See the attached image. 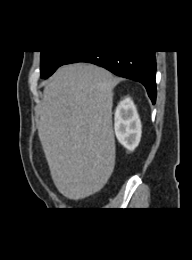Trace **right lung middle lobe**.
I'll use <instances>...</instances> for the list:
<instances>
[{"label": "right lung middle lobe", "instance_id": "obj_1", "mask_svg": "<svg viewBox=\"0 0 192 260\" xmlns=\"http://www.w3.org/2000/svg\"><path fill=\"white\" fill-rule=\"evenodd\" d=\"M69 54L68 51H41V78L51 76Z\"/></svg>", "mask_w": 192, "mask_h": 260}]
</instances>
